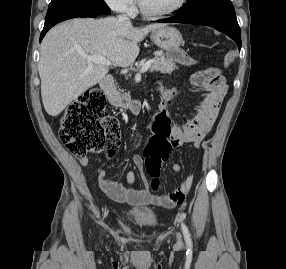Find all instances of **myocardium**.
I'll list each match as a JSON object with an SVG mask.
<instances>
[{
    "instance_id": "obj_1",
    "label": "myocardium",
    "mask_w": 286,
    "mask_h": 269,
    "mask_svg": "<svg viewBox=\"0 0 286 269\" xmlns=\"http://www.w3.org/2000/svg\"><path fill=\"white\" fill-rule=\"evenodd\" d=\"M137 3H138L139 10L143 16L148 17V18H163V17L172 15L176 13L177 11H179L185 5L186 0H178L177 3L171 8L164 10V11H160V12L149 11L143 5L142 0H137Z\"/></svg>"
}]
</instances>
